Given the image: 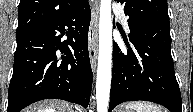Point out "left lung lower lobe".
I'll list each match as a JSON object with an SVG mask.
<instances>
[{"instance_id": "left-lung-lower-lobe-1", "label": "left lung lower lobe", "mask_w": 193, "mask_h": 112, "mask_svg": "<svg viewBox=\"0 0 193 112\" xmlns=\"http://www.w3.org/2000/svg\"><path fill=\"white\" fill-rule=\"evenodd\" d=\"M134 46L123 54L114 43L109 112L126 101L145 100L182 112L180 89L171 56L169 19L129 25Z\"/></svg>"}]
</instances>
